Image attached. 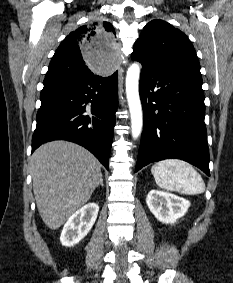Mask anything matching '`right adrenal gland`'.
<instances>
[{
  "label": "right adrenal gland",
  "mask_w": 233,
  "mask_h": 283,
  "mask_svg": "<svg viewBox=\"0 0 233 283\" xmlns=\"http://www.w3.org/2000/svg\"><path fill=\"white\" fill-rule=\"evenodd\" d=\"M99 184H100L102 187L104 186V184H103L102 174H101V176H100V182H99Z\"/></svg>",
  "instance_id": "1"
}]
</instances>
